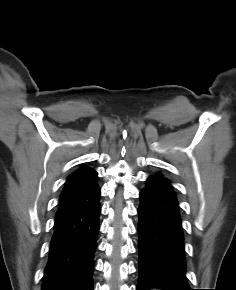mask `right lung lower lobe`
Here are the masks:
<instances>
[{"label":"right lung lower lobe","instance_id":"obj_1","mask_svg":"<svg viewBox=\"0 0 236 290\" xmlns=\"http://www.w3.org/2000/svg\"><path fill=\"white\" fill-rule=\"evenodd\" d=\"M100 193L85 206L55 217L42 290H93Z\"/></svg>","mask_w":236,"mask_h":290}]
</instances>
